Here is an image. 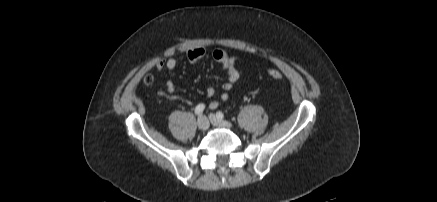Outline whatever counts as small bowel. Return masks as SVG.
I'll list each match as a JSON object with an SVG mask.
<instances>
[{"mask_svg": "<svg viewBox=\"0 0 437 202\" xmlns=\"http://www.w3.org/2000/svg\"><path fill=\"white\" fill-rule=\"evenodd\" d=\"M205 55V49L202 47H194L187 51V59L189 62L194 63L203 58ZM214 60L220 64L223 72L227 77V81L221 85L223 92L220 94L218 99L210 103V108H217L222 102L228 99V92L233 88L234 84L240 79L241 72L237 67L238 58L229 55L226 51L217 49L213 52ZM177 66V60L174 57H169L166 60H160L156 63L155 67L157 70H162L166 68L167 70H173ZM166 90L169 95H173L175 92V85L172 81L166 82ZM208 97H213L215 95V88L208 87L206 90Z\"/></svg>", "mask_w": 437, "mask_h": 202, "instance_id": "c3829d8e", "label": "small bowel"}]
</instances>
